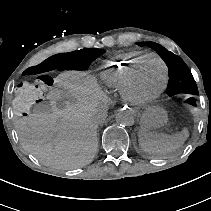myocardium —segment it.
I'll return each instance as SVG.
<instances>
[{
	"label": "myocardium",
	"instance_id": "obj_1",
	"mask_svg": "<svg viewBox=\"0 0 211 211\" xmlns=\"http://www.w3.org/2000/svg\"><path fill=\"white\" fill-rule=\"evenodd\" d=\"M148 59H154L160 64L162 68V72H163V79H162V84L160 88L158 89V91H156L152 95L144 96L138 93L137 87H136V79L139 72V68L131 71L129 79H128V84H127L126 99L130 101L132 104L140 106V107H145L153 103L154 101H156L163 93L166 80H167V67L164 61L156 55H153V54L144 55L140 60L139 67L143 64L145 60H148Z\"/></svg>",
	"mask_w": 211,
	"mask_h": 211
}]
</instances>
